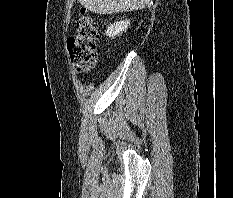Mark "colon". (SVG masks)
Returning a JSON list of instances; mask_svg holds the SVG:
<instances>
[{
  "instance_id": "obj_1",
  "label": "colon",
  "mask_w": 233,
  "mask_h": 198,
  "mask_svg": "<svg viewBox=\"0 0 233 198\" xmlns=\"http://www.w3.org/2000/svg\"><path fill=\"white\" fill-rule=\"evenodd\" d=\"M97 37L96 21L86 10H82L75 32L67 41L71 61L78 72H86L95 65Z\"/></svg>"
}]
</instances>
